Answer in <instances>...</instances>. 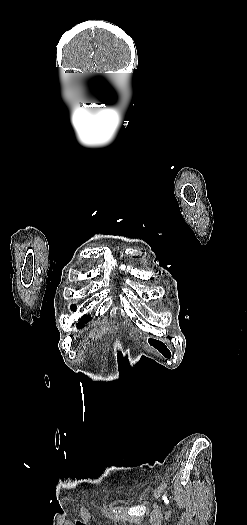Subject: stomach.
I'll return each mask as SVG.
<instances>
[{"instance_id": "0dacf381", "label": "stomach", "mask_w": 247, "mask_h": 525, "mask_svg": "<svg viewBox=\"0 0 247 525\" xmlns=\"http://www.w3.org/2000/svg\"><path fill=\"white\" fill-rule=\"evenodd\" d=\"M146 343L148 346L153 348L159 355L164 358L171 357V350L166 346V344L160 340L147 338Z\"/></svg>"}]
</instances>
